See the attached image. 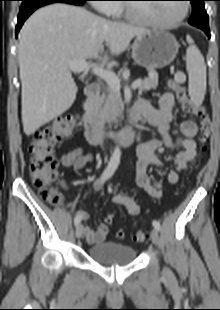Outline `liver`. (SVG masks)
<instances>
[{"label": "liver", "instance_id": "1", "mask_svg": "<svg viewBox=\"0 0 220 310\" xmlns=\"http://www.w3.org/2000/svg\"><path fill=\"white\" fill-rule=\"evenodd\" d=\"M146 32L67 4H52L33 13L22 27L18 46L25 134L30 136L74 103L77 86L71 62L98 58L104 43L111 55H119L135 36ZM108 60L107 54L100 58L102 64Z\"/></svg>", "mask_w": 220, "mask_h": 310}]
</instances>
